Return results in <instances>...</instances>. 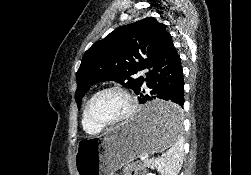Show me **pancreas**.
<instances>
[{"instance_id": "pancreas-1", "label": "pancreas", "mask_w": 251, "mask_h": 175, "mask_svg": "<svg viewBox=\"0 0 251 175\" xmlns=\"http://www.w3.org/2000/svg\"><path fill=\"white\" fill-rule=\"evenodd\" d=\"M142 161L146 167H151L152 163H154V159H142Z\"/></svg>"}]
</instances>
